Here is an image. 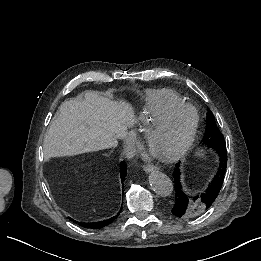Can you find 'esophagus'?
<instances>
[{
  "label": "esophagus",
  "mask_w": 261,
  "mask_h": 261,
  "mask_svg": "<svg viewBox=\"0 0 261 261\" xmlns=\"http://www.w3.org/2000/svg\"><path fill=\"white\" fill-rule=\"evenodd\" d=\"M143 169L147 173L158 170V168L156 166L151 165V164L144 165Z\"/></svg>",
  "instance_id": "esophagus-1"
}]
</instances>
